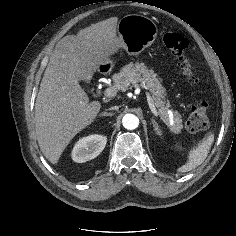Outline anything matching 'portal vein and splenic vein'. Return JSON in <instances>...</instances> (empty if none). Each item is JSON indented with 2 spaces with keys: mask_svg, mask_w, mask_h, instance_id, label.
Returning a JSON list of instances; mask_svg holds the SVG:
<instances>
[{
  "mask_svg": "<svg viewBox=\"0 0 236 236\" xmlns=\"http://www.w3.org/2000/svg\"><path fill=\"white\" fill-rule=\"evenodd\" d=\"M117 94V89L115 87H110V88H107L105 90V93L104 95L106 97H114L115 95ZM146 97H147V101H148V104H149V107H150V110L152 111V113L154 114V116L158 117V112L156 110V107H155V104L153 102V99L151 98L150 94L146 92Z\"/></svg>",
  "mask_w": 236,
  "mask_h": 236,
  "instance_id": "portal-vein-and-splenic-vein-1",
  "label": "portal vein and splenic vein"
}]
</instances>
